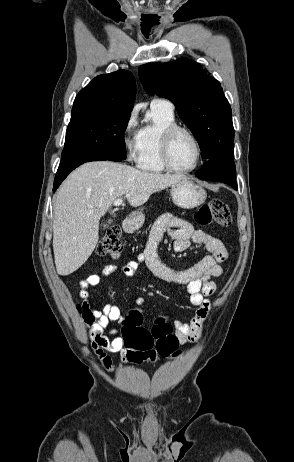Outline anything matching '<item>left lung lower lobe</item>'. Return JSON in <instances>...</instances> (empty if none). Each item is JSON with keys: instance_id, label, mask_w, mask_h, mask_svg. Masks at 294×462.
Segmentation results:
<instances>
[{"instance_id": "left-lung-lower-lobe-1", "label": "left lung lower lobe", "mask_w": 294, "mask_h": 462, "mask_svg": "<svg viewBox=\"0 0 294 462\" xmlns=\"http://www.w3.org/2000/svg\"><path fill=\"white\" fill-rule=\"evenodd\" d=\"M196 176L203 180L223 182L229 184L235 190L238 189L235 179L234 159L207 161L203 165L202 171L196 174Z\"/></svg>"}]
</instances>
